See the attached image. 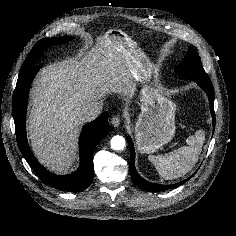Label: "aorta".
I'll return each instance as SVG.
<instances>
[{
	"mask_svg": "<svg viewBox=\"0 0 236 236\" xmlns=\"http://www.w3.org/2000/svg\"><path fill=\"white\" fill-rule=\"evenodd\" d=\"M126 145L124 137L120 135L113 136L111 139V147L114 150H122Z\"/></svg>",
	"mask_w": 236,
	"mask_h": 236,
	"instance_id": "obj_1",
	"label": "aorta"
}]
</instances>
